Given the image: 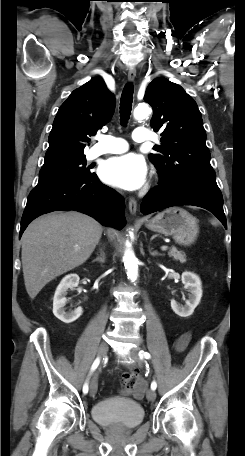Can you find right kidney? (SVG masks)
Listing matches in <instances>:
<instances>
[{
  "instance_id": "ca27d5eb",
  "label": "right kidney",
  "mask_w": 245,
  "mask_h": 456,
  "mask_svg": "<svg viewBox=\"0 0 245 456\" xmlns=\"http://www.w3.org/2000/svg\"><path fill=\"white\" fill-rule=\"evenodd\" d=\"M79 276L77 274L66 275L58 285L54 298H53V314L62 322L69 324L77 320L83 313L81 307L74 311L66 312L64 306L66 305L67 291L69 288L78 286Z\"/></svg>"
}]
</instances>
